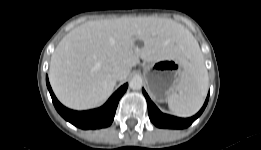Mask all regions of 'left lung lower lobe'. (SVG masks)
Masks as SVG:
<instances>
[{"mask_svg": "<svg viewBox=\"0 0 261 150\" xmlns=\"http://www.w3.org/2000/svg\"><path fill=\"white\" fill-rule=\"evenodd\" d=\"M143 94L147 100V105H148V113L150 120L152 123L159 127V128H170V129H184L187 128L189 125H191L204 111L208 98L207 97L202 109L193 117L191 118H178L174 116H170L167 114H163L160 112V110L155 106V104L150 100L149 96L143 89Z\"/></svg>", "mask_w": 261, "mask_h": 150, "instance_id": "0a47b994", "label": "left lung lower lobe"}]
</instances>
